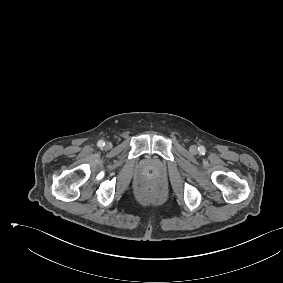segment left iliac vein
<instances>
[{
    "label": "left iliac vein",
    "instance_id": "1",
    "mask_svg": "<svg viewBox=\"0 0 283 283\" xmlns=\"http://www.w3.org/2000/svg\"><path fill=\"white\" fill-rule=\"evenodd\" d=\"M190 152L193 154L197 153V147L195 145L190 146Z\"/></svg>",
    "mask_w": 283,
    "mask_h": 283
}]
</instances>
